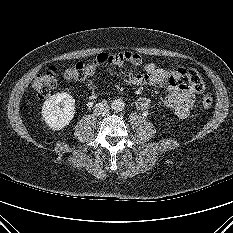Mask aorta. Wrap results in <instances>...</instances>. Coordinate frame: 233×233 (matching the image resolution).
<instances>
[{"mask_svg":"<svg viewBox=\"0 0 233 233\" xmlns=\"http://www.w3.org/2000/svg\"><path fill=\"white\" fill-rule=\"evenodd\" d=\"M111 107L114 111H122L124 108V103L123 101L117 99L112 102Z\"/></svg>","mask_w":233,"mask_h":233,"instance_id":"762f6f07","label":"aorta"}]
</instances>
